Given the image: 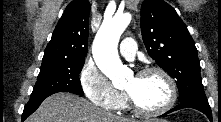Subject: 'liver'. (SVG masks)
I'll return each mask as SVG.
<instances>
[{"label": "liver", "instance_id": "6515ba94", "mask_svg": "<svg viewBox=\"0 0 221 122\" xmlns=\"http://www.w3.org/2000/svg\"><path fill=\"white\" fill-rule=\"evenodd\" d=\"M26 122H136L106 112L84 98L55 93L46 98Z\"/></svg>", "mask_w": 221, "mask_h": 122}]
</instances>
